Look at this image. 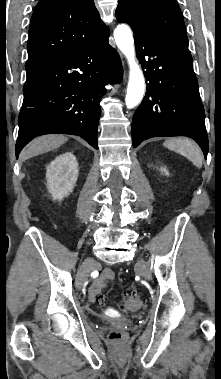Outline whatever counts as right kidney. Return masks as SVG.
Returning a JSON list of instances; mask_svg holds the SVG:
<instances>
[{
	"mask_svg": "<svg viewBox=\"0 0 221 379\" xmlns=\"http://www.w3.org/2000/svg\"><path fill=\"white\" fill-rule=\"evenodd\" d=\"M78 173V162L71 152L57 156L48 165L46 171L47 188L53 200H62L73 191Z\"/></svg>",
	"mask_w": 221,
	"mask_h": 379,
	"instance_id": "1",
	"label": "right kidney"
}]
</instances>
